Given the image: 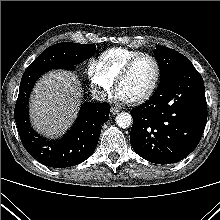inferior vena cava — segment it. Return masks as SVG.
Listing matches in <instances>:
<instances>
[{
	"label": "inferior vena cava",
	"mask_w": 220,
	"mask_h": 220,
	"mask_svg": "<svg viewBox=\"0 0 220 220\" xmlns=\"http://www.w3.org/2000/svg\"><path fill=\"white\" fill-rule=\"evenodd\" d=\"M92 95H93V98L97 101H105L106 99V93L102 90H97V89H93L92 90Z\"/></svg>",
	"instance_id": "602c4592"
}]
</instances>
